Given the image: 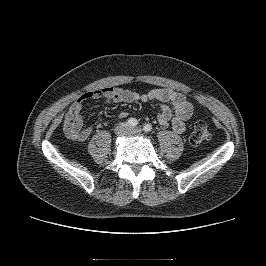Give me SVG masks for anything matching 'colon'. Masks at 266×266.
I'll return each instance as SVG.
<instances>
[{
	"instance_id": "obj_1",
	"label": "colon",
	"mask_w": 266,
	"mask_h": 266,
	"mask_svg": "<svg viewBox=\"0 0 266 266\" xmlns=\"http://www.w3.org/2000/svg\"><path fill=\"white\" fill-rule=\"evenodd\" d=\"M209 138H210V131L208 129L207 124L203 121H199L195 124L189 140L192 145L197 146L208 141Z\"/></svg>"
}]
</instances>
